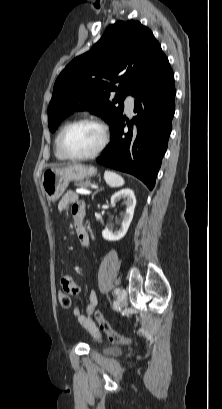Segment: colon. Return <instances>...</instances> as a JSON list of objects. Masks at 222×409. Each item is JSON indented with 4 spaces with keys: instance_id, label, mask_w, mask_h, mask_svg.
<instances>
[{
    "instance_id": "5ec220e1",
    "label": "colon",
    "mask_w": 222,
    "mask_h": 409,
    "mask_svg": "<svg viewBox=\"0 0 222 409\" xmlns=\"http://www.w3.org/2000/svg\"><path fill=\"white\" fill-rule=\"evenodd\" d=\"M70 286H64L58 292V301L62 308L68 309L71 307V297L68 294ZM94 316L97 318L98 322L101 325V328L107 333L111 342L114 343H128L130 341L129 337L119 335L116 333L106 321V319L102 316L100 311H96Z\"/></svg>"
}]
</instances>
